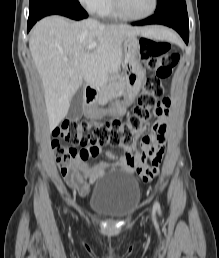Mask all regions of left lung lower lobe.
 I'll return each instance as SVG.
<instances>
[{
    "label": "left lung lower lobe",
    "mask_w": 219,
    "mask_h": 258,
    "mask_svg": "<svg viewBox=\"0 0 219 258\" xmlns=\"http://www.w3.org/2000/svg\"><path fill=\"white\" fill-rule=\"evenodd\" d=\"M148 24H161L175 29L185 43L188 44L189 39V21L186 7H172L165 9L153 16L132 23V25H148Z\"/></svg>",
    "instance_id": "0a47b994"
}]
</instances>
